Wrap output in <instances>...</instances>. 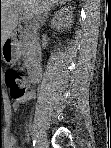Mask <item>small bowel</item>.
<instances>
[{"mask_svg": "<svg viewBox=\"0 0 111 148\" xmlns=\"http://www.w3.org/2000/svg\"><path fill=\"white\" fill-rule=\"evenodd\" d=\"M12 145H13V140L9 139V146H12Z\"/></svg>", "mask_w": 111, "mask_h": 148, "instance_id": "1", "label": "small bowel"}]
</instances>
